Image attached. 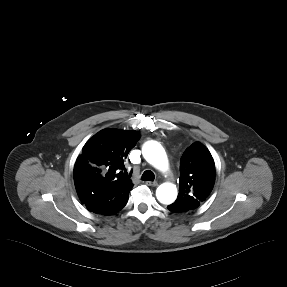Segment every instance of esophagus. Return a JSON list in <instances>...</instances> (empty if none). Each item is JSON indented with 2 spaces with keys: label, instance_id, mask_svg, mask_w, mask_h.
<instances>
[{
  "label": "esophagus",
  "instance_id": "34e87169",
  "mask_svg": "<svg viewBox=\"0 0 287 287\" xmlns=\"http://www.w3.org/2000/svg\"><path fill=\"white\" fill-rule=\"evenodd\" d=\"M146 185L156 187L158 185V183L156 181H147Z\"/></svg>",
  "mask_w": 287,
  "mask_h": 287
}]
</instances>
